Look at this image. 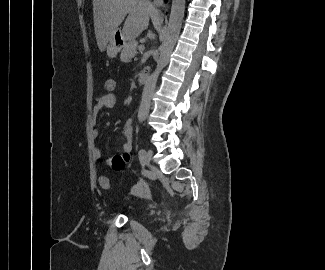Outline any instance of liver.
I'll list each match as a JSON object with an SVG mask.
<instances>
[{
    "label": "liver",
    "instance_id": "obj_1",
    "mask_svg": "<svg viewBox=\"0 0 325 270\" xmlns=\"http://www.w3.org/2000/svg\"><path fill=\"white\" fill-rule=\"evenodd\" d=\"M128 14L122 32L134 40L149 25L161 22L159 11L149 0H93L94 29L98 48L103 52Z\"/></svg>",
    "mask_w": 325,
    "mask_h": 270
}]
</instances>
